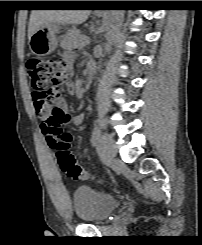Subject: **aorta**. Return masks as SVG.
I'll return each mask as SVG.
<instances>
[{"mask_svg":"<svg viewBox=\"0 0 202 245\" xmlns=\"http://www.w3.org/2000/svg\"><path fill=\"white\" fill-rule=\"evenodd\" d=\"M124 12V10H111L107 21L106 46L111 45L115 33L119 30L124 19Z\"/></svg>","mask_w":202,"mask_h":245,"instance_id":"1","label":"aorta"}]
</instances>
